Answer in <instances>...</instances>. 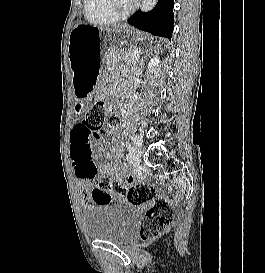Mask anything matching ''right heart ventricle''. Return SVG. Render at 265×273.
Instances as JSON below:
<instances>
[{
  "mask_svg": "<svg viewBox=\"0 0 265 273\" xmlns=\"http://www.w3.org/2000/svg\"><path fill=\"white\" fill-rule=\"evenodd\" d=\"M84 14L94 25H108L118 20L106 8L105 0H84Z\"/></svg>",
  "mask_w": 265,
  "mask_h": 273,
  "instance_id": "e07e8e85",
  "label": "right heart ventricle"
}]
</instances>
